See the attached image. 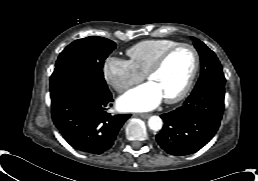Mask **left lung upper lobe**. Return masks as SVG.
Segmentation results:
<instances>
[{"mask_svg":"<svg viewBox=\"0 0 258 181\" xmlns=\"http://www.w3.org/2000/svg\"><path fill=\"white\" fill-rule=\"evenodd\" d=\"M192 39L195 48L200 54L202 66L200 78L192 93L198 92L209 85H225L222 66L215 53L200 40L196 38Z\"/></svg>","mask_w":258,"mask_h":181,"instance_id":"1","label":"left lung upper lobe"}]
</instances>
